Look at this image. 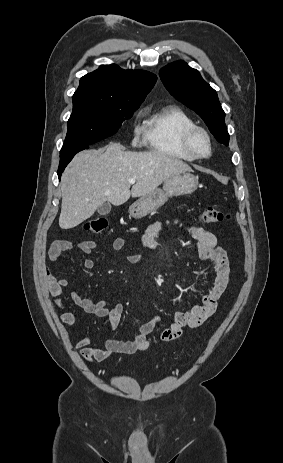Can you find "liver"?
<instances>
[{
    "instance_id": "liver-1",
    "label": "liver",
    "mask_w": 283,
    "mask_h": 463,
    "mask_svg": "<svg viewBox=\"0 0 283 463\" xmlns=\"http://www.w3.org/2000/svg\"><path fill=\"white\" fill-rule=\"evenodd\" d=\"M191 167L159 152L123 151L119 143L78 153L61 177L59 226L70 229L90 218L106 201L115 206L154 191L167 179ZM136 183L131 184L129 179Z\"/></svg>"
}]
</instances>
